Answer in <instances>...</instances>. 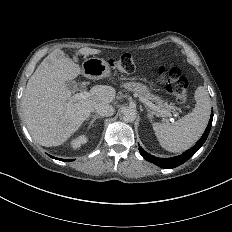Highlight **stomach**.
<instances>
[{"label":"stomach","instance_id":"stomach-1","mask_svg":"<svg viewBox=\"0 0 232 232\" xmlns=\"http://www.w3.org/2000/svg\"><path fill=\"white\" fill-rule=\"evenodd\" d=\"M82 73L89 79H102L110 75V66L102 58H88L82 64ZM123 86L135 93L148 92V88L141 83L127 82Z\"/></svg>","mask_w":232,"mask_h":232}]
</instances>
